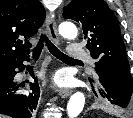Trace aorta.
<instances>
[{
	"mask_svg": "<svg viewBox=\"0 0 133 118\" xmlns=\"http://www.w3.org/2000/svg\"><path fill=\"white\" fill-rule=\"evenodd\" d=\"M59 33L67 39H74L77 36V28L71 22H64L59 26ZM85 105V96L82 92L74 93L67 104V114L69 118H77Z\"/></svg>",
	"mask_w": 133,
	"mask_h": 118,
	"instance_id": "1",
	"label": "aorta"
}]
</instances>
